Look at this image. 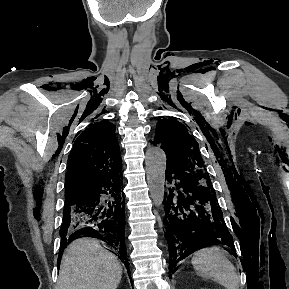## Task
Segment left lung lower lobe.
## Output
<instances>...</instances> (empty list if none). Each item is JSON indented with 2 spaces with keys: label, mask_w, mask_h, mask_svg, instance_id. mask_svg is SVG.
I'll return each mask as SVG.
<instances>
[{
  "label": "left lung lower lobe",
  "mask_w": 289,
  "mask_h": 289,
  "mask_svg": "<svg viewBox=\"0 0 289 289\" xmlns=\"http://www.w3.org/2000/svg\"><path fill=\"white\" fill-rule=\"evenodd\" d=\"M169 188L164 195L166 237L169 248V277L176 264L204 247L225 244L233 250L232 237L223 220L212 185L167 167L165 180Z\"/></svg>",
  "instance_id": "left-lung-lower-lobe-1"
}]
</instances>
